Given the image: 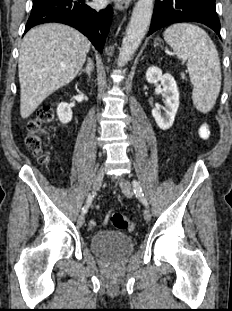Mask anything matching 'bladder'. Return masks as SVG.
<instances>
[{"label": "bladder", "instance_id": "bladder-1", "mask_svg": "<svg viewBox=\"0 0 232 311\" xmlns=\"http://www.w3.org/2000/svg\"><path fill=\"white\" fill-rule=\"evenodd\" d=\"M90 245L94 253L111 260L121 259L134 249V242L129 236L113 230H105L93 235Z\"/></svg>", "mask_w": 232, "mask_h": 311}]
</instances>
